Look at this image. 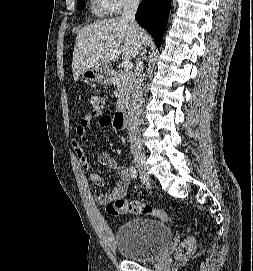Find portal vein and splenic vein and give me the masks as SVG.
I'll return each mask as SVG.
<instances>
[{"label": "portal vein and splenic vein", "mask_w": 253, "mask_h": 271, "mask_svg": "<svg viewBox=\"0 0 253 271\" xmlns=\"http://www.w3.org/2000/svg\"><path fill=\"white\" fill-rule=\"evenodd\" d=\"M122 67L125 71H130L133 68V64L131 61L126 60L122 63Z\"/></svg>", "instance_id": "18ae733b"}]
</instances>
